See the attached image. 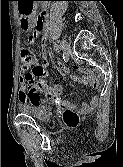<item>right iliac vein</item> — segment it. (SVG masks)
<instances>
[{
  "label": "right iliac vein",
  "instance_id": "right-iliac-vein-1",
  "mask_svg": "<svg viewBox=\"0 0 123 167\" xmlns=\"http://www.w3.org/2000/svg\"><path fill=\"white\" fill-rule=\"evenodd\" d=\"M60 48H61L62 51L65 52L66 50H68L69 45H68V43L65 40H61V42H60Z\"/></svg>",
  "mask_w": 123,
  "mask_h": 167
}]
</instances>
